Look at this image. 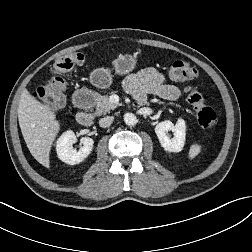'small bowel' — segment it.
<instances>
[{"instance_id": "obj_1", "label": "small bowel", "mask_w": 252, "mask_h": 252, "mask_svg": "<svg viewBox=\"0 0 252 252\" xmlns=\"http://www.w3.org/2000/svg\"><path fill=\"white\" fill-rule=\"evenodd\" d=\"M124 88L139 104H143L148 95L168 100L178 99L182 95L177 86L167 83L165 76L154 68H145L128 76Z\"/></svg>"}]
</instances>
